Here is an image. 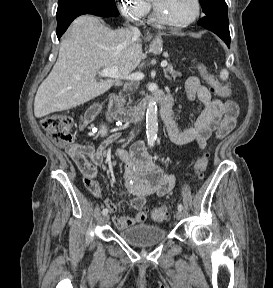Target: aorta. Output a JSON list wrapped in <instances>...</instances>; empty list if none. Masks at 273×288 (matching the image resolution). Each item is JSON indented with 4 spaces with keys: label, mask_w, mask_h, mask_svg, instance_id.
<instances>
[{
    "label": "aorta",
    "mask_w": 273,
    "mask_h": 288,
    "mask_svg": "<svg viewBox=\"0 0 273 288\" xmlns=\"http://www.w3.org/2000/svg\"><path fill=\"white\" fill-rule=\"evenodd\" d=\"M158 131V119H157V105L156 101L151 98L147 104L146 110V135L147 144L149 147H153L156 141Z\"/></svg>",
    "instance_id": "obj_1"
}]
</instances>
